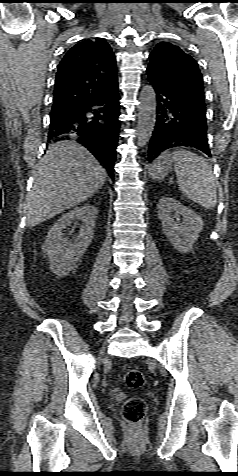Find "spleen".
<instances>
[{"label":"spleen","instance_id":"obj_1","mask_svg":"<svg viewBox=\"0 0 238 476\" xmlns=\"http://www.w3.org/2000/svg\"><path fill=\"white\" fill-rule=\"evenodd\" d=\"M181 192L206 209L217 202L215 177L207 160L187 150H176L171 155Z\"/></svg>","mask_w":238,"mask_h":476}]
</instances>
